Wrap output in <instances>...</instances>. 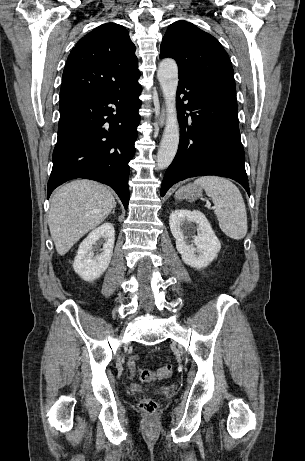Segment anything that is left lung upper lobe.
Returning <instances> with one entry per match:
<instances>
[{"mask_svg": "<svg viewBox=\"0 0 305 461\" xmlns=\"http://www.w3.org/2000/svg\"><path fill=\"white\" fill-rule=\"evenodd\" d=\"M160 57L176 60L179 78L191 81L228 79L234 71L228 54L212 35L186 21L172 23L163 37Z\"/></svg>", "mask_w": 305, "mask_h": 461, "instance_id": "1", "label": "left lung upper lobe"}]
</instances>
